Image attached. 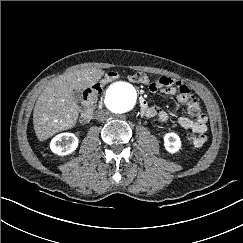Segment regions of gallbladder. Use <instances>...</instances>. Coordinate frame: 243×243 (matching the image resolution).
I'll use <instances>...</instances> for the list:
<instances>
[{"mask_svg": "<svg viewBox=\"0 0 243 243\" xmlns=\"http://www.w3.org/2000/svg\"><path fill=\"white\" fill-rule=\"evenodd\" d=\"M73 95H74V99H75V101L77 103L81 102V100H82V92L80 90H74Z\"/></svg>", "mask_w": 243, "mask_h": 243, "instance_id": "gallbladder-1", "label": "gallbladder"}]
</instances>
